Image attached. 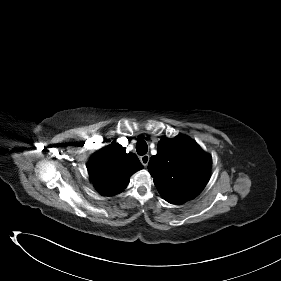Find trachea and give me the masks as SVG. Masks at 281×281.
I'll use <instances>...</instances> for the list:
<instances>
[{
    "label": "trachea",
    "mask_w": 281,
    "mask_h": 281,
    "mask_svg": "<svg viewBox=\"0 0 281 281\" xmlns=\"http://www.w3.org/2000/svg\"><path fill=\"white\" fill-rule=\"evenodd\" d=\"M136 151L139 155H145L148 151L147 143L144 140H139L136 144Z\"/></svg>",
    "instance_id": "obj_1"
}]
</instances>
